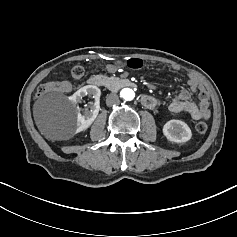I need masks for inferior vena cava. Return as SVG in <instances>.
<instances>
[{
	"instance_id": "inferior-vena-cava-1",
	"label": "inferior vena cava",
	"mask_w": 237,
	"mask_h": 237,
	"mask_svg": "<svg viewBox=\"0 0 237 237\" xmlns=\"http://www.w3.org/2000/svg\"><path fill=\"white\" fill-rule=\"evenodd\" d=\"M118 102H119V97L117 94L111 93V94L107 95L106 104L108 106H112L114 104H117Z\"/></svg>"
}]
</instances>
